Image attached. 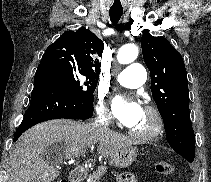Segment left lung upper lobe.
Returning a JSON list of instances; mask_svg holds the SVG:
<instances>
[{
	"mask_svg": "<svg viewBox=\"0 0 211 182\" xmlns=\"http://www.w3.org/2000/svg\"><path fill=\"white\" fill-rule=\"evenodd\" d=\"M144 61L151 75L152 96L164 121L166 139L189 162L195 155V135L189 114V90L181 54L164 37H141Z\"/></svg>",
	"mask_w": 211,
	"mask_h": 182,
	"instance_id": "1",
	"label": "left lung upper lobe"
}]
</instances>
